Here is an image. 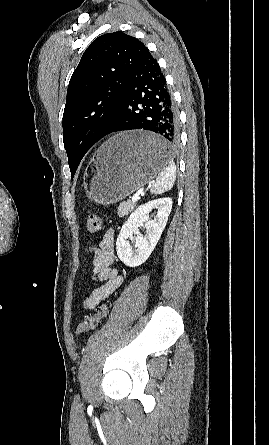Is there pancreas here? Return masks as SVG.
Masks as SVG:
<instances>
[{
    "label": "pancreas",
    "mask_w": 269,
    "mask_h": 445,
    "mask_svg": "<svg viewBox=\"0 0 269 445\" xmlns=\"http://www.w3.org/2000/svg\"><path fill=\"white\" fill-rule=\"evenodd\" d=\"M135 207V202H122L118 207L117 214L119 217H124L128 215Z\"/></svg>",
    "instance_id": "1"
}]
</instances>
